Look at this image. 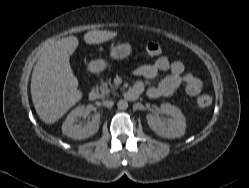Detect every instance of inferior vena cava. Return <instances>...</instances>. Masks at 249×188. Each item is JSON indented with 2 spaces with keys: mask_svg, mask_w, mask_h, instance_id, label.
Listing matches in <instances>:
<instances>
[{
  "mask_svg": "<svg viewBox=\"0 0 249 188\" xmlns=\"http://www.w3.org/2000/svg\"><path fill=\"white\" fill-rule=\"evenodd\" d=\"M103 105L105 107L111 108L114 105V102L112 100H105L103 101Z\"/></svg>",
  "mask_w": 249,
  "mask_h": 188,
  "instance_id": "obj_1",
  "label": "inferior vena cava"
}]
</instances>
